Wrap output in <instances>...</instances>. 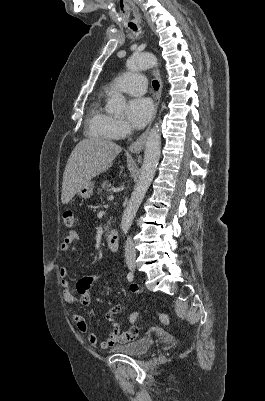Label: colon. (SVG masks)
Wrapping results in <instances>:
<instances>
[{
	"label": "colon",
	"instance_id": "colon-1",
	"mask_svg": "<svg viewBox=\"0 0 265 401\" xmlns=\"http://www.w3.org/2000/svg\"><path fill=\"white\" fill-rule=\"evenodd\" d=\"M63 222L64 225L68 228H72L75 225V217L74 214L71 211H66L63 214ZM139 312H134L130 315L129 320L132 324L135 323V321L137 320V318L139 317ZM158 319L161 323L163 324H167L168 323V317L166 314L164 313H159L158 314ZM127 336L133 340L136 338V336L138 335V328L136 326H133L132 328H130L129 330H127Z\"/></svg>",
	"mask_w": 265,
	"mask_h": 401
}]
</instances>
